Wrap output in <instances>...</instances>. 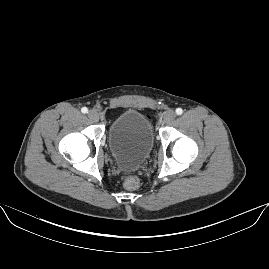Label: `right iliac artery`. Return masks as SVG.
Returning <instances> with one entry per match:
<instances>
[{"label":"right iliac artery","instance_id":"right-iliac-artery-1","mask_svg":"<svg viewBox=\"0 0 269 269\" xmlns=\"http://www.w3.org/2000/svg\"><path fill=\"white\" fill-rule=\"evenodd\" d=\"M81 112H82V113H87V112H88V109H87L86 107H83V108L81 109Z\"/></svg>","mask_w":269,"mask_h":269}]
</instances>
